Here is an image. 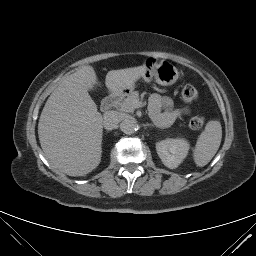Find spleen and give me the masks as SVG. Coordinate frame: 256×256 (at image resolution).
Returning <instances> with one entry per match:
<instances>
[{
    "label": "spleen",
    "instance_id": "1",
    "mask_svg": "<svg viewBox=\"0 0 256 256\" xmlns=\"http://www.w3.org/2000/svg\"><path fill=\"white\" fill-rule=\"evenodd\" d=\"M222 139V127L219 121H209L195 145L193 158L197 166L207 165L214 157Z\"/></svg>",
    "mask_w": 256,
    "mask_h": 256
}]
</instances>
